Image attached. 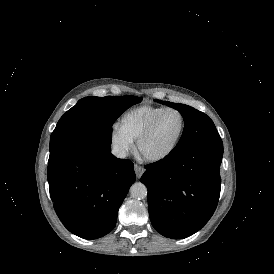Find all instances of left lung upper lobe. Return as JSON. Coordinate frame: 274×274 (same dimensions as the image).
<instances>
[{
  "label": "left lung upper lobe",
  "mask_w": 274,
  "mask_h": 274,
  "mask_svg": "<svg viewBox=\"0 0 274 274\" xmlns=\"http://www.w3.org/2000/svg\"><path fill=\"white\" fill-rule=\"evenodd\" d=\"M161 104L178 110L185 121L184 130L173 153L182 151L193 145L213 140H221L213 121L203 112L184 104L155 100Z\"/></svg>",
  "instance_id": "obj_1"
}]
</instances>
